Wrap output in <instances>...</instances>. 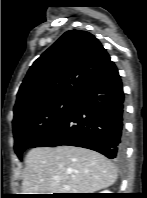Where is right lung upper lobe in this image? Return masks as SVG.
Masks as SVG:
<instances>
[{"label": "right lung upper lobe", "mask_w": 147, "mask_h": 198, "mask_svg": "<svg viewBox=\"0 0 147 198\" xmlns=\"http://www.w3.org/2000/svg\"><path fill=\"white\" fill-rule=\"evenodd\" d=\"M110 63L109 54L94 35L67 31L30 67L17 94L13 121L45 103L75 100Z\"/></svg>", "instance_id": "cb5924a9"}]
</instances>
